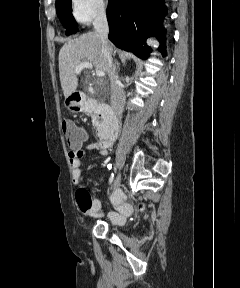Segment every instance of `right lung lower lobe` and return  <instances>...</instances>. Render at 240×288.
I'll use <instances>...</instances> for the list:
<instances>
[{
    "mask_svg": "<svg viewBox=\"0 0 240 288\" xmlns=\"http://www.w3.org/2000/svg\"><path fill=\"white\" fill-rule=\"evenodd\" d=\"M167 13L164 0H109L107 19L109 40L118 48L147 58L151 48L146 39L156 35L159 50L166 55L162 21Z\"/></svg>",
    "mask_w": 240,
    "mask_h": 288,
    "instance_id": "98d812e1",
    "label": "right lung lower lobe"
}]
</instances>
